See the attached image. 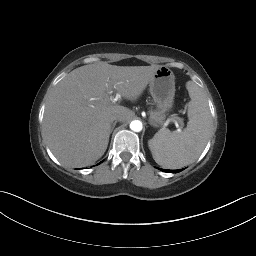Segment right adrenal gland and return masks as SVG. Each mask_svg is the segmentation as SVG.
<instances>
[{
    "label": "right adrenal gland",
    "instance_id": "1",
    "mask_svg": "<svg viewBox=\"0 0 256 256\" xmlns=\"http://www.w3.org/2000/svg\"><path fill=\"white\" fill-rule=\"evenodd\" d=\"M116 121L112 124V126H111V133H112V131H113V129L115 128V125H116Z\"/></svg>",
    "mask_w": 256,
    "mask_h": 256
}]
</instances>
